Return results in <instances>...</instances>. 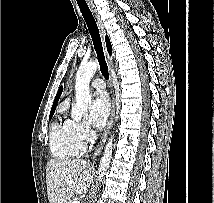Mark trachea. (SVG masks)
Listing matches in <instances>:
<instances>
[{
	"instance_id": "trachea-1",
	"label": "trachea",
	"mask_w": 214,
	"mask_h": 203,
	"mask_svg": "<svg viewBox=\"0 0 214 203\" xmlns=\"http://www.w3.org/2000/svg\"><path fill=\"white\" fill-rule=\"evenodd\" d=\"M78 6L80 8V11L84 17L89 33L91 35L93 45H94L97 57L99 59L101 73L104 76V78L108 80L109 79L108 66L105 61L102 42H101L99 29L97 27L96 21L93 17L91 10L89 9L86 3L84 4L78 3Z\"/></svg>"
}]
</instances>
